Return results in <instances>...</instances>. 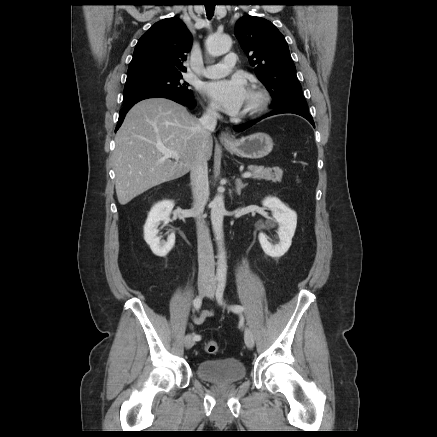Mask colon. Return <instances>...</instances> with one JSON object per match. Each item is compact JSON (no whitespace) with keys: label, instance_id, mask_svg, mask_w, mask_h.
<instances>
[{"label":"colon","instance_id":"colon-1","mask_svg":"<svg viewBox=\"0 0 437 437\" xmlns=\"http://www.w3.org/2000/svg\"><path fill=\"white\" fill-rule=\"evenodd\" d=\"M204 349L209 354H215L218 351L219 347L216 341L208 340L204 344Z\"/></svg>","mask_w":437,"mask_h":437}]
</instances>
